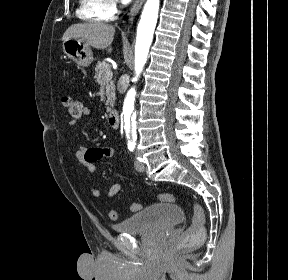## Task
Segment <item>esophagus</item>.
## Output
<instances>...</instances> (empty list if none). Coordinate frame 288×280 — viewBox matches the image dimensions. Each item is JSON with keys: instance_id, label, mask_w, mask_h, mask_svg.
I'll return each instance as SVG.
<instances>
[{"instance_id": "esophagus-1", "label": "esophagus", "mask_w": 288, "mask_h": 280, "mask_svg": "<svg viewBox=\"0 0 288 280\" xmlns=\"http://www.w3.org/2000/svg\"><path fill=\"white\" fill-rule=\"evenodd\" d=\"M144 0H136L134 5L132 6L130 13H129V18L128 21L132 22L135 16L138 14Z\"/></svg>"}]
</instances>
